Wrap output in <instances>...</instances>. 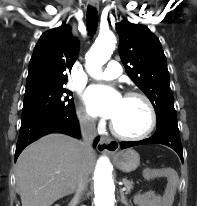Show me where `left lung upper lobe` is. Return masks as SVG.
I'll list each match as a JSON object with an SVG mask.
<instances>
[{
	"label": "left lung upper lobe",
	"mask_w": 197,
	"mask_h": 206,
	"mask_svg": "<svg viewBox=\"0 0 197 206\" xmlns=\"http://www.w3.org/2000/svg\"><path fill=\"white\" fill-rule=\"evenodd\" d=\"M119 34V55L133 82L154 106L157 130L177 128L173 94L166 57L158 38L145 26L123 19L116 24Z\"/></svg>",
	"instance_id": "1"
}]
</instances>
